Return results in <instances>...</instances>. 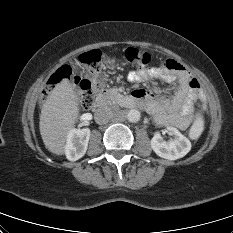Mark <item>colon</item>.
<instances>
[{
    "label": "colon",
    "mask_w": 233,
    "mask_h": 233,
    "mask_svg": "<svg viewBox=\"0 0 233 233\" xmlns=\"http://www.w3.org/2000/svg\"><path fill=\"white\" fill-rule=\"evenodd\" d=\"M125 58L130 64L138 68H147L151 62V56L149 53L133 47L125 50ZM79 59L80 62L86 66L89 76L86 78L74 76L70 66H61L49 78L42 93V100H45L50 92L62 81L73 80L81 106L84 108H90L94 104L98 92L104 85V81L101 76V53L98 50H91L81 54ZM195 105L199 108L201 103L196 100ZM203 129V116L199 115L190 128V138L193 140L198 139L201 136Z\"/></svg>",
    "instance_id": "colon-1"
}]
</instances>
